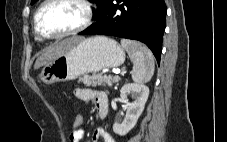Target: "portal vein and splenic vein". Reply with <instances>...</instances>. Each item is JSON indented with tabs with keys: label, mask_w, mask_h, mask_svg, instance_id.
<instances>
[{
	"label": "portal vein and splenic vein",
	"mask_w": 227,
	"mask_h": 142,
	"mask_svg": "<svg viewBox=\"0 0 227 142\" xmlns=\"http://www.w3.org/2000/svg\"><path fill=\"white\" fill-rule=\"evenodd\" d=\"M124 72H125L124 70H122V71H120V70H115V71H114V74L119 75V74H122V73H124Z\"/></svg>",
	"instance_id": "portal-vein-and-splenic-vein-1"
}]
</instances>
